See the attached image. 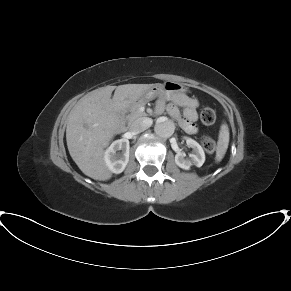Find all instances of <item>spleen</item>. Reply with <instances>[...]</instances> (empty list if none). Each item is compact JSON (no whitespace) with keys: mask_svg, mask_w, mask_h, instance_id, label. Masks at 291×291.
Segmentation results:
<instances>
[{"mask_svg":"<svg viewBox=\"0 0 291 291\" xmlns=\"http://www.w3.org/2000/svg\"><path fill=\"white\" fill-rule=\"evenodd\" d=\"M229 145V128L226 123H223L220 127L218 142H217V149H216V156L215 160L217 163L221 162L224 158L227 148Z\"/></svg>","mask_w":291,"mask_h":291,"instance_id":"obj_1","label":"spleen"}]
</instances>
